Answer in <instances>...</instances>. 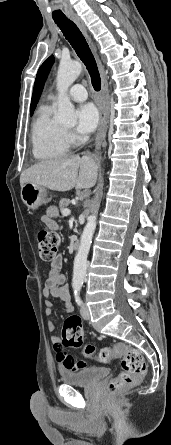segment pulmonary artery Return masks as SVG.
Returning a JSON list of instances; mask_svg holds the SVG:
<instances>
[{"mask_svg":"<svg viewBox=\"0 0 171 445\" xmlns=\"http://www.w3.org/2000/svg\"><path fill=\"white\" fill-rule=\"evenodd\" d=\"M68 92H69L71 99L76 102L84 101L88 97L86 89L84 88V86H82L80 84H75V85L71 86V88L69 89ZM53 98H54V95H51L49 97L50 100H52Z\"/></svg>","mask_w":171,"mask_h":445,"instance_id":"1","label":"pulmonary artery"}]
</instances>
